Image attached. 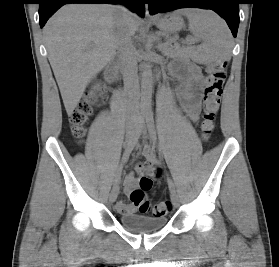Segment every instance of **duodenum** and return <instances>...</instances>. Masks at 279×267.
Returning a JSON list of instances; mask_svg holds the SVG:
<instances>
[{
    "mask_svg": "<svg viewBox=\"0 0 279 267\" xmlns=\"http://www.w3.org/2000/svg\"><path fill=\"white\" fill-rule=\"evenodd\" d=\"M108 78L110 81L117 82L119 80V73L116 66H112L108 73Z\"/></svg>",
    "mask_w": 279,
    "mask_h": 267,
    "instance_id": "duodenum-1",
    "label": "duodenum"
}]
</instances>
